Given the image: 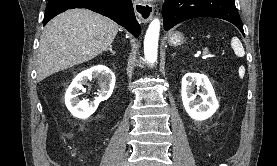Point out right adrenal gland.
Wrapping results in <instances>:
<instances>
[{
	"instance_id": "2a0ac1e0",
	"label": "right adrenal gland",
	"mask_w": 277,
	"mask_h": 166,
	"mask_svg": "<svg viewBox=\"0 0 277 166\" xmlns=\"http://www.w3.org/2000/svg\"><path fill=\"white\" fill-rule=\"evenodd\" d=\"M107 51H109V52L112 53V54L115 53V51H113V49H112V45H110V46L108 47Z\"/></svg>"
}]
</instances>
